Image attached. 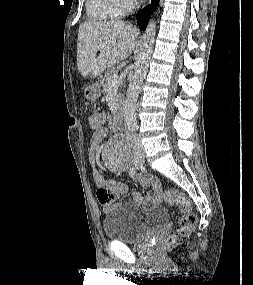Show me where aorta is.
I'll return each instance as SVG.
<instances>
[{
	"label": "aorta",
	"instance_id": "762f6f07",
	"mask_svg": "<svg viewBox=\"0 0 253 285\" xmlns=\"http://www.w3.org/2000/svg\"><path fill=\"white\" fill-rule=\"evenodd\" d=\"M156 37V22L150 20L142 41L139 58L135 64V72L127 89L124 105V119L126 128L135 131L137 128L136 103L141 86L147 74L149 60L153 52Z\"/></svg>",
	"mask_w": 253,
	"mask_h": 285
}]
</instances>
